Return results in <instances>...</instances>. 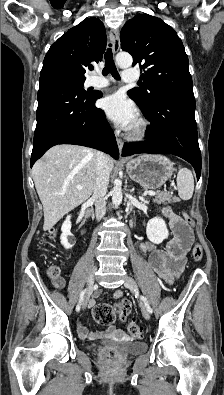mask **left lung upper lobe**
I'll use <instances>...</instances> for the list:
<instances>
[{
    "mask_svg": "<svg viewBox=\"0 0 224 395\" xmlns=\"http://www.w3.org/2000/svg\"><path fill=\"white\" fill-rule=\"evenodd\" d=\"M121 48L144 70L141 88L128 92L143 109L164 99L193 94L188 57L175 30L160 18L138 14L123 26Z\"/></svg>",
    "mask_w": 224,
    "mask_h": 395,
    "instance_id": "5c2ea615",
    "label": "left lung upper lobe"
}]
</instances>
